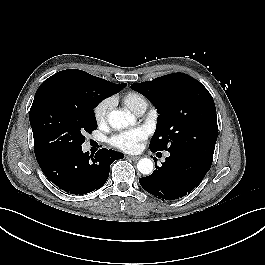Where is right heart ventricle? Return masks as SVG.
Here are the masks:
<instances>
[{
	"label": "right heart ventricle",
	"mask_w": 265,
	"mask_h": 265,
	"mask_svg": "<svg viewBox=\"0 0 265 265\" xmlns=\"http://www.w3.org/2000/svg\"><path fill=\"white\" fill-rule=\"evenodd\" d=\"M122 101L136 114L144 112L148 106L147 98L137 91H129L125 93L122 97Z\"/></svg>",
	"instance_id": "1"
}]
</instances>
